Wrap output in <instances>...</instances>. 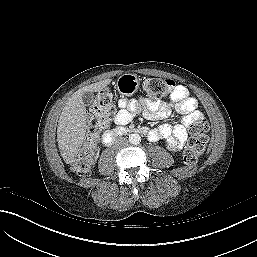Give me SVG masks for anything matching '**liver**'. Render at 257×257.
Wrapping results in <instances>:
<instances>
[{"label":"liver","mask_w":257,"mask_h":257,"mask_svg":"<svg viewBox=\"0 0 257 257\" xmlns=\"http://www.w3.org/2000/svg\"><path fill=\"white\" fill-rule=\"evenodd\" d=\"M105 79L76 91L63 108L57 127V141L60 154L67 164L75 162L78 152L85 140L87 113L82 100L85 92H98L111 83Z\"/></svg>","instance_id":"1"}]
</instances>
